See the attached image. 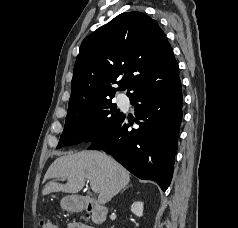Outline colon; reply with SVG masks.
Wrapping results in <instances>:
<instances>
[{"label":"colon","instance_id":"colon-1","mask_svg":"<svg viewBox=\"0 0 238 228\" xmlns=\"http://www.w3.org/2000/svg\"><path fill=\"white\" fill-rule=\"evenodd\" d=\"M39 228H58V227L49 219H41L39 222Z\"/></svg>","mask_w":238,"mask_h":228}]
</instances>
